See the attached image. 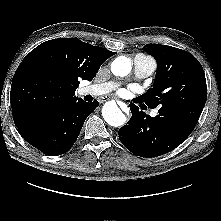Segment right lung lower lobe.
Segmentation results:
<instances>
[{"label": "right lung lower lobe", "instance_id": "right-lung-lower-lobe-1", "mask_svg": "<svg viewBox=\"0 0 221 221\" xmlns=\"http://www.w3.org/2000/svg\"><path fill=\"white\" fill-rule=\"evenodd\" d=\"M78 99L62 108L34 115L17 126L23 138L46 155L67 152L76 142L86 118L98 107Z\"/></svg>", "mask_w": 221, "mask_h": 221}]
</instances>
